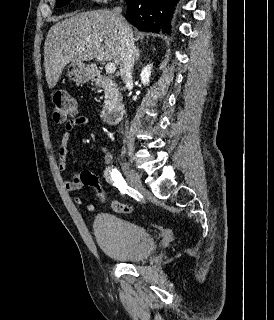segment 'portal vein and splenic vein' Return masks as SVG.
Masks as SVG:
<instances>
[{"label": "portal vein and splenic vein", "mask_w": 274, "mask_h": 320, "mask_svg": "<svg viewBox=\"0 0 274 320\" xmlns=\"http://www.w3.org/2000/svg\"><path fill=\"white\" fill-rule=\"evenodd\" d=\"M106 74H113L116 70L115 64H112V62H109V64H106L105 66Z\"/></svg>", "instance_id": "portal-vein-and-splenic-vein-1"}]
</instances>
